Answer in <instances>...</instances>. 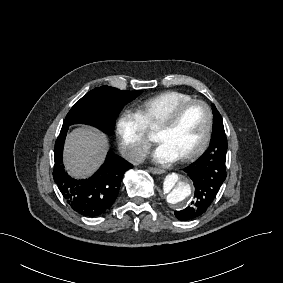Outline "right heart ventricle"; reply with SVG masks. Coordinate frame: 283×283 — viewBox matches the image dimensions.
Returning a JSON list of instances; mask_svg holds the SVG:
<instances>
[{
  "instance_id": "e07e8e85",
  "label": "right heart ventricle",
  "mask_w": 283,
  "mask_h": 283,
  "mask_svg": "<svg viewBox=\"0 0 283 283\" xmlns=\"http://www.w3.org/2000/svg\"><path fill=\"white\" fill-rule=\"evenodd\" d=\"M190 99H193L190 94L168 91L140 102L135 112L149 128L155 129L161 117L165 116L171 108Z\"/></svg>"
}]
</instances>
